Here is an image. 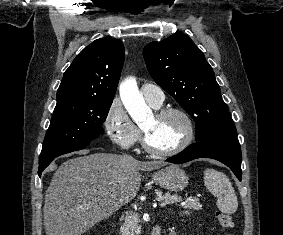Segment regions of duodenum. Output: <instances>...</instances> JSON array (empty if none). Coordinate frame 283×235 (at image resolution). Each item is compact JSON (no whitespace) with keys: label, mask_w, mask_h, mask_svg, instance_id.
<instances>
[{"label":"duodenum","mask_w":283,"mask_h":235,"mask_svg":"<svg viewBox=\"0 0 283 235\" xmlns=\"http://www.w3.org/2000/svg\"><path fill=\"white\" fill-rule=\"evenodd\" d=\"M152 235H160V230L158 228L154 229Z\"/></svg>","instance_id":"obj_1"}]
</instances>
